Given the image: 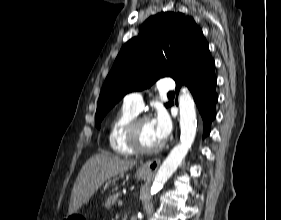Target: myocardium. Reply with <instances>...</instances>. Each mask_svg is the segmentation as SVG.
<instances>
[{
    "mask_svg": "<svg viewBox=\"0 0 281 220\" xmlns=\"http://www.w3.org/2000/svg\"><path fill=\"white\" fill-rule=\"evenodd\" d=\"M150 120L148 116H136L128 125L126 130V140L128 145L136 152L141 154H152L158 152L163 144L160 143L155 147H145L141 144L139 138V126L142 121Z\"/></svg>",
    "mask_w": 281,
    "mask_h": 220,
    "instance_id": "1",
    "label": "myocardium"
}]
</instances>
